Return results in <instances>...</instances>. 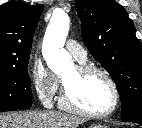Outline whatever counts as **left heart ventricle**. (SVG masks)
<instances>
[{"mask_svg": "<svg viewBox=\"0 0 142 128\" xmlns=\"http://www.w3.org/2000/svg\"><path fill=\"white\" fill-rule=\"evenodd\" d=\"M63 81L73 101L82 109L102 113L112 107L113 92L110 84L101 74L81 75L73 67L63 75Z\"/></svg>", "mask_w": 142, "mask_h": 128, "instance_id": "obj_1", "label": "left heart ventricle"}]
</instances>
